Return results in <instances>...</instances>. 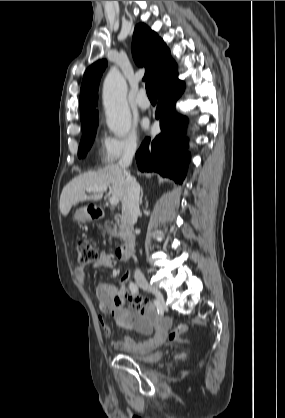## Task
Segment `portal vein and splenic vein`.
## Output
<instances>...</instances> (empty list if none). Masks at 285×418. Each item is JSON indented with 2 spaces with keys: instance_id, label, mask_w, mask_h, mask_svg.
I'll return each mask as SVG.
<instances>
[{
  "instance_id": "18ae733b",
  "label": "portal vein and splenic vein",
  "mask_w": 285,
  "mask_h": 418,
  "mask_svg": "<svg viewBox=\"0 0 285 418\" xmlns=\"http://www.w3.org/2000/svg\"><path fill=\"white\" fill-rule=\"evenodd\" d=\"M107 187H94V188H88L87 192H106ZM109 202L112 206H115L119 203V199L116 197H111L109 199Z\"/></svg>"
}]
</instances>
